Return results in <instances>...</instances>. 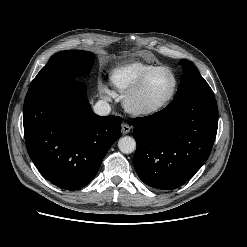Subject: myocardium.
Returning a JSON list of instances; mask_svg holds the SVG:
<instances>
[{"label": "myocardium", "mask_w": 247, "mask_h": 247, "mask_svg": "<svg viewBox=\"0 0 247 247\" xmlns=\"http://www.w3.org/2000/svg\"><path fill=\"white\" fill-rule=\"evenodd\" d=\"M164 70L167 71L173 78V87L170 94L160 103L154 105H143L137 100L138 95L147 80L154 72ZM178 90V79L174 71L167 66H154L143 72L135 83L129 88L124 95L123 103L126 110L134 115L148 116L160 112L166 108L174 99Z\"/></svg>", "instance_id": "obj_1"}]
</instances>
